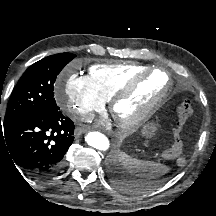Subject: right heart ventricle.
<instances>
[{
	"label": "right heart ventricle",
	"instance_id": "e07e8e85",
	"mask_svg": "<svg viewBox=\"0 0 216 216\" xmlns=\"http://www.w3.org/2000/svg\"><path fill=\"white\" fill-rule=\"evenodd\" d=\"M145 69L135 63L95 64L89 68V78L93 87L106 101L131 78Z\"/></svg>",
	"mask_w": 216,
	"mask_h": 216
}]
</instances>
